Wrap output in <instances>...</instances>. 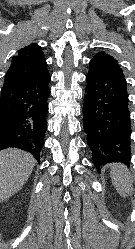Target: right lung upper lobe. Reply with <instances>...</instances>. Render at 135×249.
Returning a JSON list of instances; mask_svg holds the SVG:
<instances>
[{
    "mask_svg": "<svg viewBox=\"0 0 135 249\" xmlns=\"http://www.w3.org/2000/svg\"><path fill=\"white\" fill-rule=\"evenodd\" d=\"M48 74L43 51L37 44H30L13 56L4 84L28 81Z\"/></svg>",
    "mask_w": 135,
    "mask_h": 249,
    "instance_id": "1",
    "label": "right lung upper lobe"
}]
</instances>
